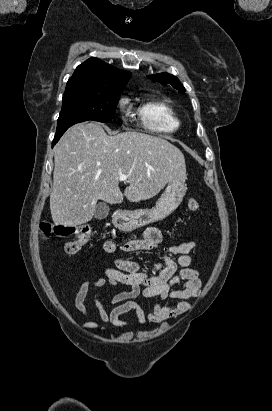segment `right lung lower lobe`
Wrapping results in <instances>:
<instances>
[{"label": "right lung lower lobe", "mask_w": 272, "mask_h": 411, "mask_svg": "<svg viewBox=\"0 0 272 411\" xmlns=\"http://www.w3.org/2000/svg\"><path fill=\"white\" fill-rule=\"evenodd\" d=\"M61 136H62V135H61ZM61 136H57V137L54 138V140H53V142H52V146L55 145V144L59 141V139H60Z\"/></svg>", "instance_id": "1"}]
</instances>
